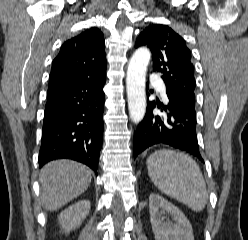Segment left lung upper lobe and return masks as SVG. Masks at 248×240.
Wrapping results in <instances>:
<instances>
[{
    "label": "left lung upper lobe",
    "mask_w": 248,
    "mask_h": 240,
    "mask_svg": "<svg viewBox=\"0 0 248 240\" xmlns=\"http://www.w3.org/2000/svg\"><path fill=\"white\" fill-rule=\"evenodd\" d=\"M140 46L151 50L153 71L162 74L166 93L180 102L195 104L194 66L185 40L170 27L153 24L137 38L135 48Z\"/></svg>",
    "instance_id": "left-lung-upper-lobe-1"
}]
</instances>
